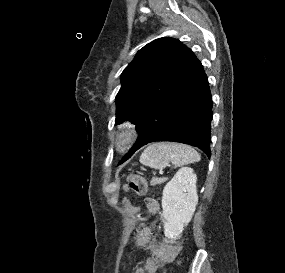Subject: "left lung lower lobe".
Segmentation results:
<instances>
[{
  "instance_id": "obj_1",
  "label": "left lung lower lobe",
  "mask_w": 285,
  "mask_h": 273,
  "mask_svg": "<svg viewBox=\"0 0 285 273\" xmlns=\"http://www.w3.org/2000/svg\"><path fill=\"white\" fill-rule=\"evenodd\" d=\"M212 96L201 62L191 51L182 73L168 92L137 123V142L119 164L142 146L156 141L190 144L209 158Z\"/></svg>"
}]
</instances>
